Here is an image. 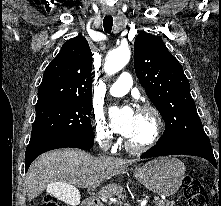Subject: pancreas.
I'll return each mask as SVG.
<instances>
[{"label":"pancreas","mask_w":221,"mask_h":206,"mask_svg":"<svg viewBox=\"0 0 221 206\" xmlns=\"http://www.w3.org/2000/svg\"><path fill=\"white\" fill-rule=\"evenodd\" d=\"M157 206H174V202L173 201H168V200H161L158 201Z\"/></svg>","instance_id":"obj_1"}]
</instances>
